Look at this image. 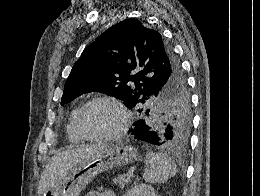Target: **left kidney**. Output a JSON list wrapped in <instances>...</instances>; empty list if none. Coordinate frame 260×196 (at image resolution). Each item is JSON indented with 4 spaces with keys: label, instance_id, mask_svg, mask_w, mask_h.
<instances>
[{
    "label": "left kidney",
    "instance_id": "left-kidney-1",
    "mask_svg": "<svg viewBox=\"0 0 260 196\" xmlns=\"http://www.w3.org/2000/svg\"><path fill=\"white\" fill-rule=\"evenodd\" d=\"M125 196H157V194L152 186L137 184V186H133V188L127 190Z\"/></svg>",
    "mask_w": 260,
    "mask_h": 196
}]
</instances>
